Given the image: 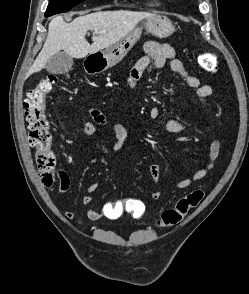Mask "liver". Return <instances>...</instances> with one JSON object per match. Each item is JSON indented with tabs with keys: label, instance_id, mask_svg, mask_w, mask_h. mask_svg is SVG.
I'll return each instance as SVG.
<instances>
[{
	"label": "liver",
	"instance_id": "6515ba94",
	"mask_svg": "<svg viewBox=\"0 0 249 294\" xmlns=\"http://www.w3.org/2000/svg\"><path fill=\"white\" fill-rule=\"evenodd\" d=\"M80 14L70 23H66L62 16L51 20L46 41L28 75L41 71L48 59L61 50L72 58L82 59L89 53L110 47L129 34L141 20L153 15L126 10ZM89 30L97 33L92 37V45L85 38Z\"/></svg>",
	"mask_w": 249,
	"mask_h": 294
}]
</instances>
